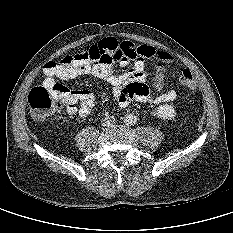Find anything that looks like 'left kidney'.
I'll list each match as a JSON object with an SVG mask.
<instances>
[{"instance_id":"1","label":"left kidney","mask_w":233,"mask_h":233,"mask_svg":"<svg viewBox=\"0 0 233 233\" xmlns=\"http://www.w3.org/2000/svg\"><path fill=\"white\" fill-rule=\"evenodd\" d=\"M156 115L162 119H172L175 117L176 112L173 106L164 104L157 107Z\"/></svg>"}]
</instances>
